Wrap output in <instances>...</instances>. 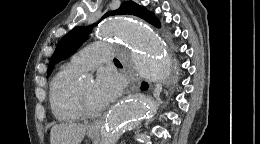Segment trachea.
<instances>
[{"instance_id": "1", "label": "trachea", "mask_w": 260, "mask_h": 144, "mask_svg": "<svg viewBox=\"0 0 260 144\" xmlns=\"http://www.w3.org/2000/svg\"><path fill=\"white\" fill-rule=\"evenodd\" d=\"M114 63H115V64H120L119 60L116 59V58L114 59Z\"/></svg>"}]
</instances>
